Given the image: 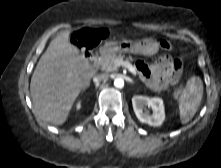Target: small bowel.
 Segmentation results:
<instances>
[{
	"instance_id": "obj_1",
	"label": "small bowel",
	"mask_w": 221,
	"mask_h": 168,
	"mask_svg": "<svg viewBox=\"0 0 221 168\" xmlns=\"http://www.w3.org/2000/svg\"><path fill=\"white\" fill-rule=\"evenodd\" d=\"M137 69L151 89L163 90L178 82L181 62L174 54L168 53L152 64L138 62Z\"/></svg>"
}]
</instances>
